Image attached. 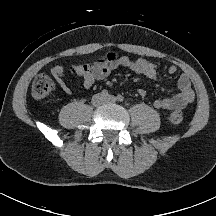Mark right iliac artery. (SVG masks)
Returning a JSON list of instances; mask_svg holds the SVG:
<instances>
[{"mask_svg": "<svg viewBox=\"0 0 216 216\" xmlns=\"http://www.w3.org/2000/svg\"><path fill=\"white\" fill-rule=\"evenodd\" d=\"M101 95L103 96V97H107V96H109V93H108V91L107 90H102L101 91Z\"/></svg>", "mask_w": 216, "mask_h": 216, "instance_id": "82829eb1", "label": "right iliac artery"}]
</instances>
